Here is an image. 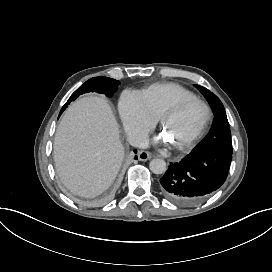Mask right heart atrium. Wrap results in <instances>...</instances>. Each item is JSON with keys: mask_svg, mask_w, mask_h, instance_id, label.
I'll list each match as a JSON object with an SVG mask.
<instances>
[{"mask_svg": "<svg viewBox=\"0 0 272 272\" xmlns=\"http://www.w3.org/2000/svg\"><path fill=\"white\" fill-rule=\"evenodd\" d=\"M120 105L124 125L130 135H142L156 124L157 118L149 112L139 94L125 91L121 96Z\"/></svg>", "mask_w": 272, "mask_h": 272, "instance_id": "right-heart-atrium-1", "label": "right heart atrium"}]
</instances>
